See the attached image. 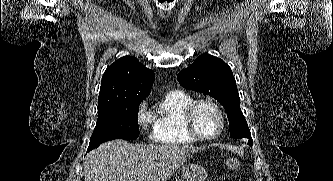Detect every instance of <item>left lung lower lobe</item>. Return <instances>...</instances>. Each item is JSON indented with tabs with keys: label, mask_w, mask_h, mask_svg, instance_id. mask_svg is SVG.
Segmentation results:
<instances>
[{
	"label": "left lung lower lobe",
	"mask_w": 333,
	"mask_h": 181,
	"mask_svg": "<svg viewBox=\"0 0 333 181\" xmlns=\"http://www.w3.org/2000/svg\"><path fill=\"white\" fill-rule=\"evenodd\" d=\"M250 146H252V144L251 143H248Z\"/></svg>",
	"instance_id": "left-lung-lower-lobe-1"
}]
</instances>
